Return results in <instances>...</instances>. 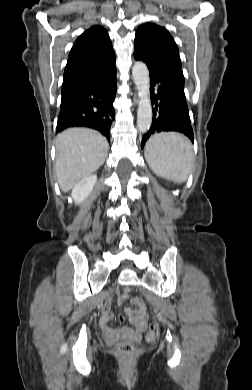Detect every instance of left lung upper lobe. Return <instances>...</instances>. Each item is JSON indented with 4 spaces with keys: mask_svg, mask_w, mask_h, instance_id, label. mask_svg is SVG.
<instances>
[{
    "mask_svg": "<svg viewBox=\"0 0 252 390\" xmlns=\"http://www.w3.org/2000/svg\"><path fill=\"white\" fill-rule=\"evenodd\" d=\"M134 50L183 76L177 44L164 27L153 23L141 25L136 31Z\"/></svg>",
    "mask_w": 252,
    "mask_h": 390,
    "instance_id": "left-lung-upper-lobe-1",
    "label": "left lung upper lobe"
}]
</instances>
